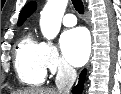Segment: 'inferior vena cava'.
<instances>
[{
  "label": "inferior vena cava",
  "instance_id": "1",
  "mask_svg": "<svg viewBox=\"0 0 121 94\" xmlns=\"http://www.w3.org/2000/svg\"><path fill=\"white\" fill-rule=\"evenodd\" d=\"M77 72L76 70L65 65L58 70V74L55 80L56 87L60 94H70V90L76 80Z\"/></svg>",
  "mask_w": 121,
  "mask_h": 94
}]
</instances>
